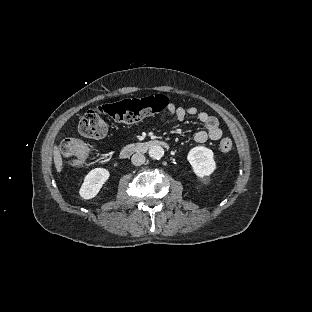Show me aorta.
<instances>
[{
	"instance_id": "aorta-1",
	"label": "aorta",
	"mask_w": 312,
	"mask_h": 312,
	"mask_svg": "<svg viewBox=\"0 0 312 312\" xmlns=\"http://www.w3.org/2000/svg\"><path fill=\"white\" fill-rule=\"evenodd\" d=\"M148 153L151 158L160 159L164 155V149L159 145H152Z\"/></svg>"
}]
</instances>
